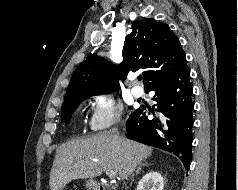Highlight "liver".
<instances>
[{
  "label": "liver",
  "instance_id": "6515ba94",
  "mask_svg": "<svg viewBox=\"0 0 238 190\" xmlns=\"http://www.w3.org/2000/svg\"><path fill=\"white\" fill-rule=\"evenodd\" d=\"M151 154V147L111 132L72 139L56 150L50 190H62L72 180L93 179L104 167L125 180Z\"/></svg>",
  "mask_w": 238,
  "mask_h": 190
}]
</instances>
